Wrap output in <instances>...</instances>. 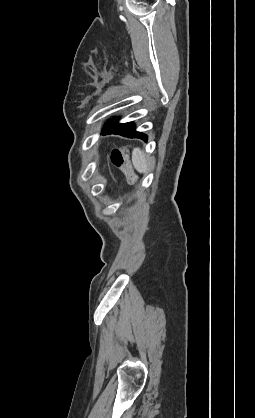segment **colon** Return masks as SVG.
<instances>
[{
  "label": "colon",
  "mask_w": 255,
  "mask_h": 418,
  "mask_svg": "<svg viewBox=\"0 0 255 418\" xmlns=\"http://www.w3.org/2000/svg\"><path fill=\"white\" fill-rule=\"evenodd\" d=\"M110 157H111V161L114 165H116V166H122L123 165L124 154H123L122 150H120L118 148L113 149L112 152H111ZM130 180L133 184H136L137 179H136V177L133 173H130Z\"/></svg>",
  "instance_id": "colon-1"
}]
</instances>
